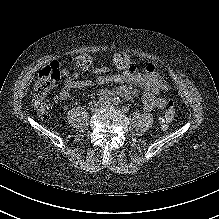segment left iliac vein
Returning <instances> with one entry per match:
<instances>
[{
  "mask_svg": "<svg viewBox=\"0 0 219 219\" xmlns=\"http://www.w3.org/2000/svg\"><path fill=\"white\" fill-rule=\"evenodd\" d=\"M102 106L107 107V108H111V107H113V103L107 102V103H104Z\"/></svg>",
  "mask_w": 219,
  "mask_h": 219,
  "instance_id": "obj_1",
  "label": "left iliac vein"
}]
</instances>
